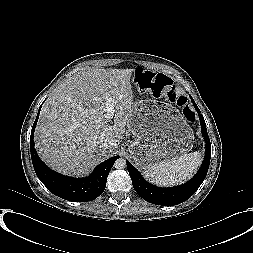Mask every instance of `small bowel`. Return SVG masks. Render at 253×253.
<instances>
[{"label":"small bowel","mask_w":253,"mask_h":253,"mask_svg":"<svg viewBox=\"0 0 253 253\" xmlns=\"http://www.w3.org/2000/svg\"><path fill=\"white\" fill-rule=\"evenodd\" d=\"M138 86L142 89L149 88L150 84L146 80L138 79Z\"/></svg>","instance_id":"c3829d8e"}]
</instances>
